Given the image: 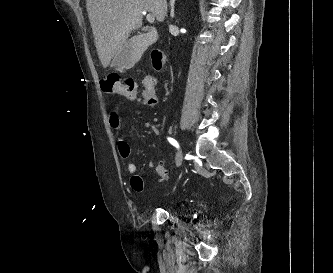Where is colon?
<instances>
[{"label": "colon", "instance_id": "obj_1", "mask_svg": "<svg viewBox=\"0 0 333 273\" xmlns=\"http://www.w3.org/2000/svg\"><path fill=\"white\" fill-rule=\"evenodd\" d=\"M153 68L157 71L164 69L167 57L162 51H153L151 54ZM101 88L110 94H119L126 98H134L137 95L136 82L131 78L123 79L118 74H111L101 81ZM152 169L158 176L159 181L167 183L169 172L162 161H157L152 165Z\"/></svg>", "mask_w": 333, "mask_h": 273}]
</instances>
